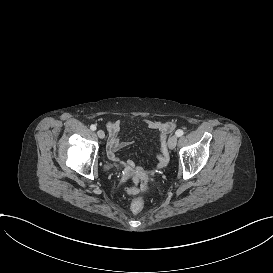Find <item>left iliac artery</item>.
<instances>
[{"label":"left iliac artery","instance_id":"1","mask_svg":"<svg viewBox=\"0 0 273 273\" xmlns=\"http://www.w3.org/2000/svg\"><path fill=\"white\" fill-rule=\"evenodd\" d=\"M175 134L177 137H181L184 134V132H183V130L178 129Z\"/></svg>","mask_w":273,"mask_h":273}]
</instances>
